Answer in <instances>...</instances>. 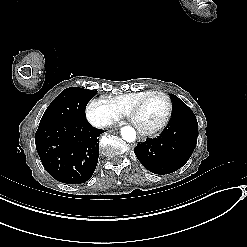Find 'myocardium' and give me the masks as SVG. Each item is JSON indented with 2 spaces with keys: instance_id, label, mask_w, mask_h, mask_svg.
Returning a JSON list of instances; mask_svg holds the SVG:
<instances>
[{
  "instance_id": "myocardium-1",
  "label": "myocardium",
  "mask_w": 247,
  "mask_h": 247,
  "mask_svg": "<svg viewBox=\"0 0 247 247\" xmlns=\"http://www.w3.org/2000/svg\"><path fill=\"white\" fill-rule=\"evenodd\" d=\"M153 95H160L166 99V101H167L166 112H165L163 119L158 124L145 126L142 124V106H143L144 100H139V101L135 102L134 107L136 108V110L138 112V116H136L133 119V122L142 134H153V133L159 131L160 129H162L167 124V122L169 121V119L172 115V100H171V98L166 93L159 91V90H151L147 94L146 97H150Z\"/></svg>"
}]
</instances>
